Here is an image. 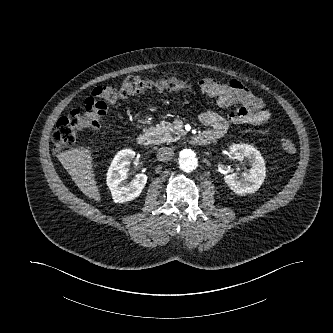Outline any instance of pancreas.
<instances>
[{
	"label": "pancreas",
	"mask_w": 333,
	"mask_h": 333,
	"mask_svg": "<svg viewBox=\"0 0 333 333\" xmlns=\"http://www.w3.org/2000/svg\"><path fill=\"white\" fill-rule=\"evenodd\" d=\"M153 131L157 135V142H174L181 138L184 135V131L175 127L172 123L162 122L160 125H157L153 128Z\"/></svg>",
	"instance_id": "pancreas-1"
}]
</instances>
